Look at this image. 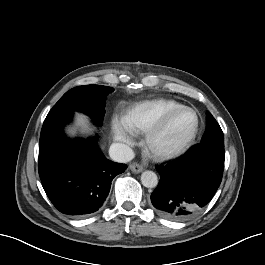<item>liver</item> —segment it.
Segmentation results:
<instances>
[{
    "instance_id": "1",
    "label": "liver",
    "mask_w": 265,
    "mask_h": 265,
    "mask_svg": "<svg viewBox=\"0 0 265 265\" xmlns=\"http://www.w3.org/2000/svg\"><path fill=\"white\" fill-rule=\"evenodd\" d=\"M77 125L81 126L83 129L88 128V121L84 115L77 114Z\"/></svg>"
}]
</instances>
